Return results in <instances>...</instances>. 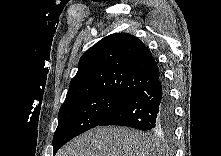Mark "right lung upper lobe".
Listing matches in <instances>:
<instances>
[{"label":"right lung upper lobe","instance_id":"cb5924a9","mask_svg":"<svg viewBox=\"0 0 221 156\" xmlns=\"http://www.w3.org/2000/svg\"><path fill=\"white\" fill-rule=\"evenodd\" d=\"M160 77L150 50L133 35H108L80 58L66 101L92 94L131 97Z\"/></svg>","mask_w":221,"mask_h":156}]
</instances>
